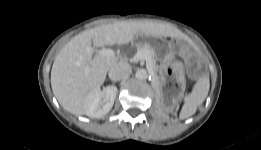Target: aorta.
<instances>
[{"mask_svg": "<svg viewBox=\"0 0 261 150\" xmlns=\"http://www.w3.org/2000/svg\"><path fill=\"white\" fill-rule=\"evenodd\" d=\"M135 76L138 80H145L148 77V73L145 69H138L135 73Z\"/></svg>", "mask_w": 261, "mask_h": 150, "instance_id": "762f6f07", "label": "aorta"}]
</instances>
